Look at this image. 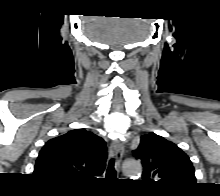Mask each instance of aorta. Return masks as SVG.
<instances>
[{"instance_id": "762f6f07", "label": "aorta", "mask_w": 220, "mask_h": 196, "mask_svg": "<svg viewBox=\"0 0 220 196\" xmlns=\"http://www.w3.org/2000/svg\"><path fill=\"white\" fill-rule=\"evenodd\" d=\"M122 168L126 176H135L142 171L140 162L134 159L125 160Z\"/></svg>"}]
</instances>
